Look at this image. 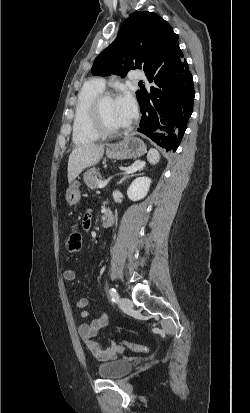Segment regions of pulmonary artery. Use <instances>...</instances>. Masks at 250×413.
Instances as JSON below:
<instances>
[{
  "label": "pulmonary artery",
  "mask_w": 250,
  "mask_h": 413,
  "mask_svg": "<svg viewBox=\"0 0 250 413\" xmlns=\"http://www.w3.org/2000/svg\"><path fill=\"white\" fill-rule=\"evenodd\" d=\"M131 79L133 80H145L146 76L142 71H134L131 75ZM95 82L102 88L105 87V80L103 78H97Z\"/></svg>",
  "instance_id": "1"
}]
</instances>
